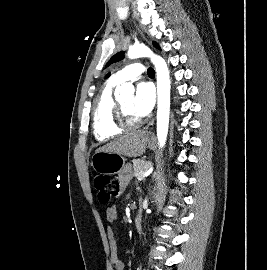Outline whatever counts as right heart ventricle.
<instances>
[{"instance_id":"1","label":"right heart ventricle","mask_w":267,"mask_h":270,"mask_svg":"<svg viewBox=\"0 0 267 270\" xmlns=\"http://www.w3.org/2000/svg\"><path fill=\"white\" fill-rule=\"evenodd\" d=\"M119 83L111 78L96 97L93 109V133L100 142L113 139L124 132L115 122L116 100L113 90Z\"/></svg>"}]
</instances>
